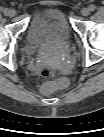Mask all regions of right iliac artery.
<instances>
[{
    "label": "right iliac artery",
    "instance_id": "82829eb1",
    "mask_svg": "<svg viewBox=\"0 0 104 137\" xmlns=\"http://www.w3.org/2000/svg\"><path fill=\"white\" fill-rule=\"evenodd\" d=\"M2 10H3L4 14H7V12H8V9H7V8L2 9Z\"/></svg>",
    "mask_w": 104,
    "mask_h": 137
}]
</instances>
